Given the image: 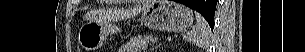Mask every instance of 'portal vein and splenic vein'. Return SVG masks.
Listing matches in <instances>:
<instances>
[{
	"label": "portal vein and splenic vein",
	"instance_id": "1",
	"mask_svg": "<svg viewBox=\"0 0 305 52\" xmlns=\"http://www.w3.org/2000/svg\"><path fill=\"white\" fill-rule=\"evenodd\" d=\"M156 41H157V38L151 39V42H156Z\"/></svg>",
	"mask_w": 305,
	"mask_h": 52
}]
</instances>
